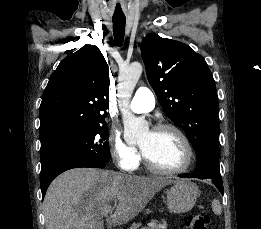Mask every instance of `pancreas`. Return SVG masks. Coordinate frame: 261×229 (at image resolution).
<instances>
[{
	"mask_svg": "<svg viewBox=\"0 0 261 229\" xmlns=\"http://www.w3.org/2000/svg\"><path fill=\"white\" fill-rule=\"evenodd\" d=\"M163 227H166V223H163V225H156V227H152V229H163Z\"/></svg>",
	"mask_w": 261,
	"mask_h": 229,
	"instance_id": "1",
	"label": "pancreas"
}]
</instances>
